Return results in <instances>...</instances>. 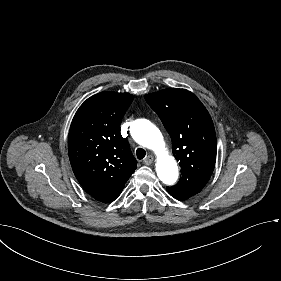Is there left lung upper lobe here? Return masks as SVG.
Returning <instances> with one entry per match:
<instances>
[{
	"mask_svg": "<svg viewBox=\"0 0 281 281\" xmlns=\"http://www.w3.org/2000/svg\"><path fill=\"white\" fill-rule=\"evenodd\" d=\"M145 99L170 134L172 151L181 167L179 182L169 188L188 197L197 194L208 182L216 162V134L208 111L185 89H164Z\"/></svg>",
	"mask_w": 281,
	"mask_h": 281,
	"instance_id": "obj_1",
	"label": "left lung upper lobe"
}]
</instances>
